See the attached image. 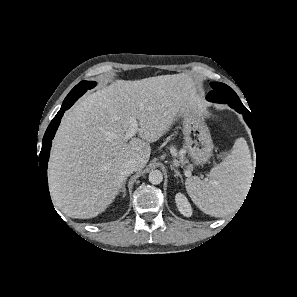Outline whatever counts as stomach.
<instances>
[{"label":"stomach","mask_w":297,"mask_h":297,"mask_svg":"<svg viewBox=\"0 0 297 297\" xmlns=\"http://www.w3.org/2000/svg\"><path fill=\"white\" fill-rule=\"evenodd\" d=\"M185 149L195 165L205 164L212 156L213 142L203 116L197 109L182 113Z\"/></svg>","instance_id":"stomach-1"}]
</instances>
